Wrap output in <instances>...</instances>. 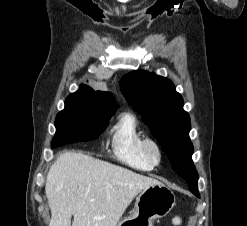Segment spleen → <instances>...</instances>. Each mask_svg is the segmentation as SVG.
I'll use <instances>...</instances> for the list:
<instances>
[{"label":"spleen","instance_id":"obj_1","mask_svg":"<svg viewBox=\"0 0 247 226\" xmlns=\"http://www.w3.org/2000/svg\"><path fill=\"white\" fill-rule=\"evenodd\" d=\"M172 223L173 224H175V225H179L180 223H181V219H180V217H174L173 219H172Z\"/></svg>","mask_w":247,"mask_h":226}]
</instances>
